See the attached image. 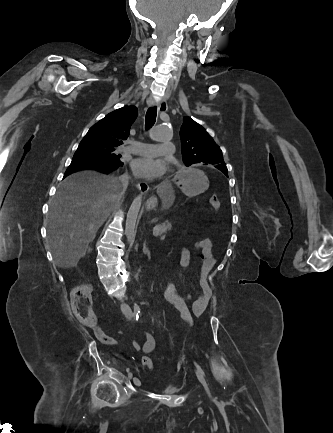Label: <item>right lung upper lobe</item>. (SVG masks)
Masks as SVG:
<instances>
[{
  "label": "right lung upper lobe",
  "mask_w": 333,
  "mask_h": 433,
  "mask_svg": "<svg viewBox=\"0 0 333 433\" xmlns=\"http://www.w3.org/2000/svg\"><path fill=\"white\" fill-rule=\"evenodd\" d=\"M137 113L132 105L117 109L93 125L83 140L100 148L117 149L129 136Z\"/></svg>",
  "instance_id": "obj_1"
}]
</instances>
